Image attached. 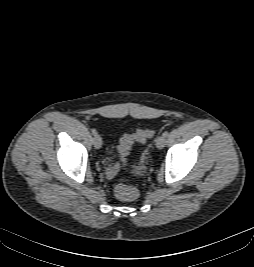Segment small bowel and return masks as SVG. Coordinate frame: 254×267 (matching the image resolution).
Here are the masks:
<instances>
[{"label": "small bowel", "instance_id": "c3829d8e", "mask_svg": "<svg viewBox=\"0 0 254 267\" xmlns=\"http://www.w3.org/2000/svg\"><path fill=\"white\" fill-rule=\"evenodd\" d=\"M114 173H115L114 168H109V169H108V175H109V176H112Z\"/></svg>", "mask_w": 254, "mask_h": 267}]
</instances>
